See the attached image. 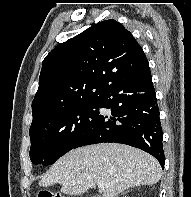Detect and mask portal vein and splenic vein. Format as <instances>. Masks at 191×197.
<instances>
[{
    "label": "portal vein and splenic vein",
    "mask_w": 191,
    "mask_h": 197,
    "mask_svg": "<svg viewBox=\"0 0 191 197\" xmlns=\"http://www.w3.org/2000/svg\"><path fill=\"white\" fill-rule=\"evenodd\" d=\"M97 186H98L99 189H105L106 187H108L107 185H105V184L102 183V182H99V183L97 184Z\"/></svg>",
    "instance_id": "1"
}]
</instances>
